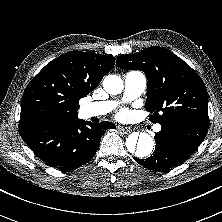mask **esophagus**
<instances>
[{
  "mask_svg": "<svg viewBox=\"0 0 222 222\" xmlns=\"http://www.w3.org/2000/svg\"><path fill=\"white\" fill-rule=\"evenodd\" d=\"M117 129L123 134H128L129 132H131V129L128 127L118 126Z\"/></svg>",
  "mask_w": 222,
  "mask_h": 222,
  "instance_id": "obj_1",
  "label": "esophagus"
}]
</instances>
